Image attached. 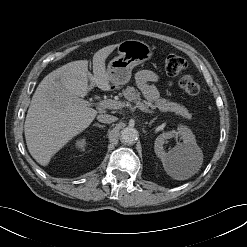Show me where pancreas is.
Instances as JSON below:
<instances>
[{"instance_id":"cf45deb5","label":"pancreas","mask_w":247,"mask_h":247,"mask_svg":"<svg viewBox=\"0 0 247 247\" xmlns=\"http://www.w3.org/2000/svg\"><path fill=\"white\" fill-rule=\"evenodd\" d=\"M122 94L124 98L130 102H140L146 107H151L152 109L158 108L162 112H174L176 115L191 119V114L188 112V109L185 106L180 105L176 102H170L165 98H159L153 103L147 101L141 102L140 92L132 86H127V88L122 91Z\"/></svg>"}]
</instances>
